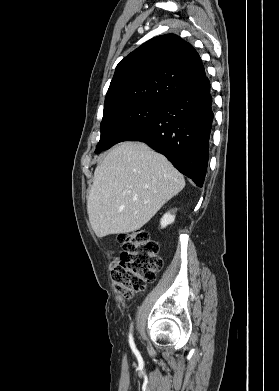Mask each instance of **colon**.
<instances>
[{
  "label": "colon",
  "mask_w": 279,
  "mask_h": 391,
  "mask_svg": "<svg viewBox=\"0 0 279 391\" xmlns=\"http://www.w3.org/2000/svg\"><path fill=\"white\" fill-rule=\"evenodd\" d=\"M122 253L111 271L115 290L131 298L153 283L163 267L158 255L159 245L145 230H136L118 236Z\"/></svg>",
  "instance_id": "obj_1"
}]
</instances>
